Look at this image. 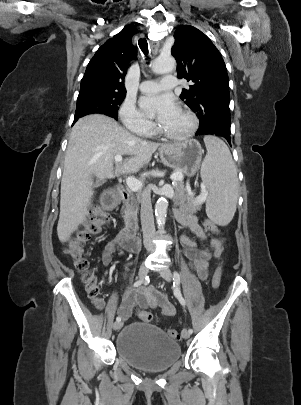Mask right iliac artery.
<instances>
[{
	"mask_svg": "<svg viewBox=\"0 0 301 405\" xmlns=\"http://www.w3.org/2000/svg\"><path fill=\"white\" fill-rule=\"evenodd\" d=\"M143 283H149V277L148 276H146L144 279H142V280H138V281H136L134 284H133V286L134 287H138V286H140V285H142ZM116 321H121V317H117L116 318Z\"/></svg>",
	"mask_w": 301,
	"mask_h": 405,
	"instance_id": "right-iliac-artery-1",
	"label": "right iliac artery"
}]
</instances>
